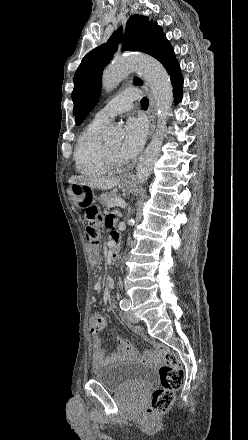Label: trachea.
I'll return each instance as SVG.
<instances>
[{"label": "trachea", "mask_w": 248, "mask_h": 440, "mask_svg": "<svg viewBox=\"0 0 248 440\" xmlns=\"http://www.w3.org/2000/svg\"><path fill=\"white\" fill-rule=\"evenodd\" d=\"M148 105H149V100L146 97H143L141 99V107L147 109Z\"/></svg>", "instance_id": "1"}]
</instances>
